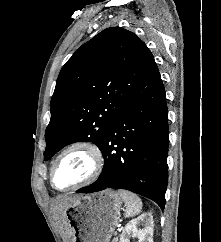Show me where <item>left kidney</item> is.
<instances>
[{"instance_id": "1", "label": "left kidney", "mask_w": 221, "mask_h": 242, "mask_svg": "<svg viewBox=\"0 0 221 242\" xmlns=\"http://www.w3.org/2000/svg\"><path fill=\"white\" fill-rule=\"evenodd\" d=\"M139 225L144 228H138ZM153 226V216L144 213L127 223L120 235V242H130L131 237H138V242H153Z\"/></svg>"}]
</instances>
